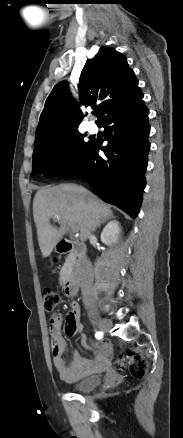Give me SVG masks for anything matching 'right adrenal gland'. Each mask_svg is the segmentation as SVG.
Wrapping results in <instances>:
<instances>
[{"instance_id":"right-adrenal-gland-1","label":"right adrenal gland","mask_w":183,"mask_h":438,"mask_svg":"<svg viewBox=\"0 0 183 438\" xmlns=\"http://www.w3.org/2000/svg\"><path fill=\"white\" fill-rule=\"evenodd\" d=\"M112 218H115V216H113V214H112L111 216H109L108 218H104V219H102V220L99 222V224L97 225V228H100L101 224L106 223L108 220H110V219H112Z\"/></svg>"}]
</instances>
